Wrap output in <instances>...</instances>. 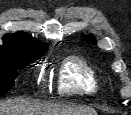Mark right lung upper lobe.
I'll return each instance as SVG.
<instances>
[{"label":"right lung upper lobe","mask_w":131,"mask_h":115,"mask_svg":"<svg viewBox=\"0 0 131 115\" xmlns=\"http://www.w3.org/2000/svg\"><path fill=\"white\" fill-rule=\"evenodd\" d=\"M0 46V67L8 66L9 62L17 57L27 54H44L48 46L32 38L27 33L19 32L7 34Z\"/></svg>","instance_id":"cb5924a9"}]
</instances>
